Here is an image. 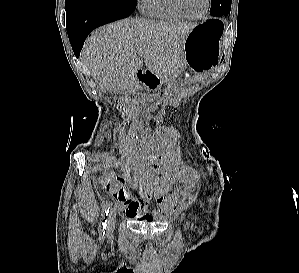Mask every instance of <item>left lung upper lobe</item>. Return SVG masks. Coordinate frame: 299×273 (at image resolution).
Wrapping results in <instances>:
<instances>
[{"label":"left lung upper lobe","mask_w":299,"mask_h":273,"mask_svg":"<svg viewBox=\"0 0 299 273\" xmlns=\"http://www.w3.org/2000/svg\"><path fill=\"white\" fill-rule=\"evenodd\" d=\"M232 0H211L210 14L212 16H223L230 13Z\"/></svg>","instance_id":"5c2ea615"}]
</instances>
